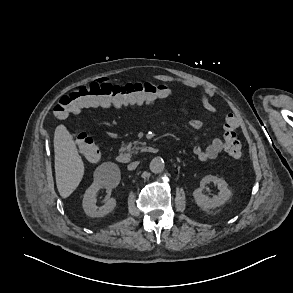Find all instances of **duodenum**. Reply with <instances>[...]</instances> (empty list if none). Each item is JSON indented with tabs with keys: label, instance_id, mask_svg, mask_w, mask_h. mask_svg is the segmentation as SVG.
Listing matches in <instances>:
<instances>
[{
	"label": "duodenum",
	"instance_id": "duodenum-1",
	"mask_svg": "<svg viewBox=\"0 0 293 293\" xmlns=\"http://www.w3.org/2000/svg\"><path fill=\"white\" fill-rule=\"evenodd\" d=\"M142 151L145 152V153H148V154H156L158 152V149L156 147H153V146H144L142 148ZM131 155H129L128 153H119L117 154L116 156V160L118 163L120 164H128L130 161H131Z\"/></svg>",
	"mask_w": 293,
	"mask_h": 293
}]
</instances>
